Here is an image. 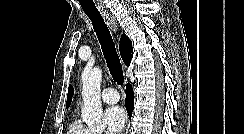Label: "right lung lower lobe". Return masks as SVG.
Listing matches in <instances>:
<instances>
[{"label": "right lung lower lobe", "mask_w": 244, "mask_h": 134, "mask_svg": "<svg viewBox=\"0 0 244 134\" xmlns=\"http://www.w3.org/2000/svg\"><path fill=\"white\" fill-rule=\"evenodd\" d=\"M133 100H134V93H133L132 86L130 84H127L125 106L130 117L133 111Z\"/></svg>", "instance_id": "1"}]
</instances>
